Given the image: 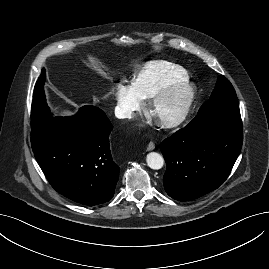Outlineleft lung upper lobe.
Here are the masks:
<instances>
[{
	"label": "left lung upper lobe",
	"instance_id": "left-lung-upper-lobe-1",
	"mask_svg": "<svg viewBox=\"0 0 269 269\" xmlns=\"http://www.w3.org/2000/svg\"><path fill=\"white\" fill-rule=\"evenodd\" d=\"M233 106H239L236 92L229 80L220 76L209 100L201 106L199 111L206 113Z\"/></svg>",
	"mask_w": 269,
	"mask_h": 269
}]
</instances>
